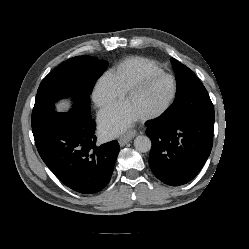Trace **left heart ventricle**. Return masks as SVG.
<instances>
[{"instance_id": "obj_1", "label": "left heart ventricle", "mask_w": 249, "mask_h": 249, "mask_svg": "<svg viewBox=\"0 0 249 249\" xmlns=\"http://www.w3.org/2000/svg\"><path fill=\"white\" fill-rule=\"evenodd\" d=\"M171 91V80L159 77L150 81L141 90L127 98L125 103L139 117L162 107L170 97Z\"/></svg>"}]
</instances>
